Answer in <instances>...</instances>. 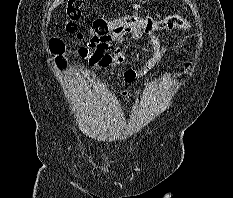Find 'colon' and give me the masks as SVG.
<instances>
[{"label":"colon","mask_w":233,"mask_h":198,"mask_svg":"<svg viewBox=\"0 0 233 198\" xmlns=\"http://www.w3.org/2000/svg\"><path fill=\"white\" fill-rule=\"evenodd\" d=\"M83 4L84 0H68L65 11V31L69 34H76L79 39L84 37L82 33L77 31V23L82 16ZM114 25L125 29L140 28L144 34H152L158 30H186L189 28L188 21L178 15L155 19L152 16L141 17L136 14H130L112 21H107L105 18L100 17L93 21L87 33L88 46H93L98 41L110 36ZM50 44L52 51L59 56L57 59L58 63L63 66L65 64L61 57L65 48L63 42L59 39H53Z\"/></svg>","instance_id":"1"}]
</instances>
